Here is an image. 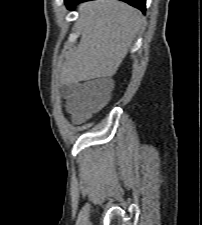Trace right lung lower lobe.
<instances>
[{
    "label": "right lung lower lobe",
    "mask_w": 202,
    "mask_h": 225,
    "mask_svg": "<svg viewBox=\"0 0 202 225\" xmlns=\"http://www.w3.org/2000/svg\"><path fill=\"white\" fill-rule=\"evenodd\" d=\"M88 0H65V4L69 9H72L77 3L84 2ZM124 1L138 9H140L142 12L145 11V2L146 0H121Z\"/></svg>",
    "instance_id": "98d812e1"
}]
</instances>
